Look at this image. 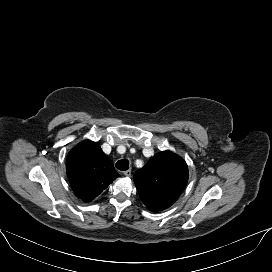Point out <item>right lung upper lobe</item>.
<instances>
[{
	"label": "right lung upper lobe",
	"instance_id": "right-lung-upper-lobe-1",
	"mask_svg": "<svg viewBox=\"0 0 272 272\" xmlns=\"http://www.w3.org/2000/svg\"><path fill=\"white\" fill-rule=\"evenodd\" d=\"M66 171L76 196L90 202L120 175L95 142L79 143L68 154Z\"/></svg>",
	"mask_w": 272,
	"mask_h": 272
}]
</instances>
